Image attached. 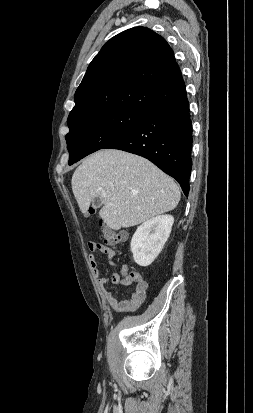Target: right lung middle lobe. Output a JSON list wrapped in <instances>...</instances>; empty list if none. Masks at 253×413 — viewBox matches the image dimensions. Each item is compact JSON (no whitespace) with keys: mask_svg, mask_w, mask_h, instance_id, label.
Returning a JSON list of instances; mask_svg holds the SVG:
<instances>
[{"mask_svg":"<svg viewBox=\"0 0 253 413\" xmlns=\"http://www.w3.org/2000/svg\"><path fill=\"white\" fill-rule=\"evenodd\" d=\"M145 114L116 109L68 123L70 132L66 135V141L69 165L125 136L142 121Z\"/></svg>","mask_w":253,"mask_h":413,"instance_id":"dd1d6c3e","label":"right lung middle lobe"}]
</instances>
